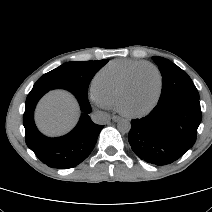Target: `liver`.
Masks as SVG:
<instances>
[{
	"instance_id": "1",
	"label": "liver",
	"mask_w": 212,
	"mask_h": 212,
	"mask_svg": "<svg viewBox=\"0 0 212 212\" xmlns=\"http://www.w3.org/2000/svg\"><path fill=\"white\" fill-rule=\"evenodd\" d=\"M79 108L76 100L65 91H53L38 104L36 122L47 135H60L70 130L76 123Z\"/></svg>"
}]
</instances>
